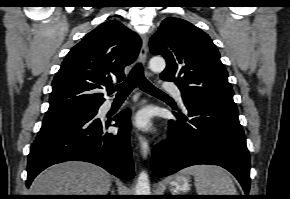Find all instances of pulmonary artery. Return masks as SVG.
<instances>
[{
  "mask_svg": "<svg viewBox=\"0 0 290 199\" xmlns=\"http://www.w3.org/2000/svg\"><path fill=\"white\" fill-rule=\"evenodd\" d=\"M163 89L167 92L173 93L177 98L181 99V92L180 90L177 88V86L173 83L167 82L163 84ZM110 103H107V106Z\"/></svg>",
  "mask_w": 290,
  "mask_h": 199,
  "instance_id": "pulmonary-artery-1",
  "label": "pulmonary artery"
}]
</instances>
